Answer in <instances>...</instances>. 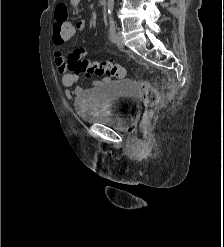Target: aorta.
<instances>
[{
  "mask_svg": "<svg viewBox=\"0 0 224 247\" xmlns=\"http://www.w3.org/2000/svg\"><path fill=\"white\" fill-rule=\"evenodd\" d=\"M107 14L109 16V18H112V14H113V8H114V0H107Z\"/></svg>",
  "mask_w": 224,
  "mask_h": 247,
  "instance_id": "762f6f07",
  "label": "aorta"
}]
</instances>
